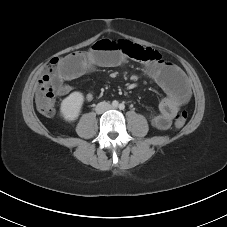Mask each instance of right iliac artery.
<instances>
[{"mask_svg":"<svg viewBox=\"0 0 227 227\" xmlns=\"http://www.w3.org/2000/svg\"><path fill=\"white\" fill-rule=\"evenodd\" d=\"M112 105H113V107H117V106H118V101L114 100V101L112 102Z\"/></svg>","mask_w":227,"mask_h":227,"instance_id":"right-iliac-artery-1","label":"right iliac artery"}]
</instances>
